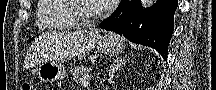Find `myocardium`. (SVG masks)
<instances>
[{
    "mask_svg": "<svg viewBox=\"0 0 216 90\" xmlns=\"http://www.w3.org/2000/svg\"><path fill=\"white\" fill-rule=\"evenodd\" d=\"M80 1H93V0H70V3H65L66 9H73L72 18L76 20L82 28H95L98 20L104 18L106 19L109 15L110 8L105 5H100L96 15L89 16L81 13L78 10V3Z\"/></svg>",
    "mask_w": 216,
    "mask_h": 90,
    "instance_id": "1",
    "label": "myocardium"
}]
</instances>
